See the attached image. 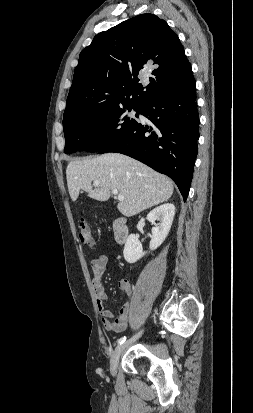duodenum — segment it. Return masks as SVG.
<instances>
[{"instance_id":"410a0bca","label":"duodenum","mask_w":253,"mask_h":413,"mask_svg":"<svg viewBox=\"0 0 253 413\" xmlns=\"http://www.w3.org/2000/svg\"><path fill=\"white\" fill-rule=\"evenodd\" d=\"M114 237L117 243L123 244L129 235L127 219L124 217L115 220L113 225Z\"/></svg>"}]
</instances>
